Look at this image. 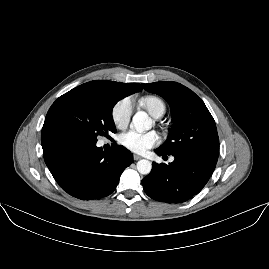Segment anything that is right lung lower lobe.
Listing matches in <instances>:
<instances>
[{
	"instance_id": "98d812e1",
	"label": "right lung lower lobe",
	"mask_w": 269,
	"mask_h": 269,
	"mask_svg": "<svg viewBox=\"0 0 269 269\" xmlns=\"http://www.w3.org/2000/svg\"><path fill=\"white\" fill-rule=\"evenodd\" d=\"M96 142L82 138L64 124L43 125L41 143L47 167L65 192L81 200L110 195L123 170L133 161L125 147L103 151Z\"/></svg>"
}]
</instances>
